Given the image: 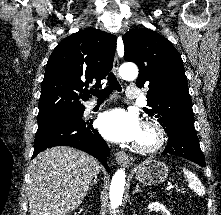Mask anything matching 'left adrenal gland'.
I'll use <instances>...</instances> for the list:
<instances>
[{"instance_id":"obj_1","label":"left adrenal gland","mask_w":221,"mask_h":215,"mask_svg":"<svg viewBox=\"0 0 221 215\" xmlns=\"http://www.w3.org/2000/svg\"><path fill=\"white\" fill-rule=\"evenodd\" d=\"M137 192H142V190L139 189V184L136 185L135 190L133 191V194L137 193Z\"/></svg>"}]
</instances>
